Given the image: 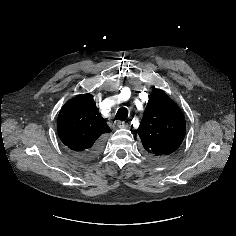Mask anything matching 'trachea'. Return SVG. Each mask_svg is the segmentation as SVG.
I'll use <instances>...</instances> for the list:
<instances>
[{"mask_svg":"<svg viewBox=\"0 0 236 236\" xmlns=\"http://www.w3.org/2000/svg\"><path fill=\"white\" fill-rule=\"evenodd\" d=\"M128 117V110L125 107L120 108L115 116V120L124 121Z\"/></svg>","mask_w":236,"mask_h":236,"instance_id":"trachea-1","label":"trachea"}]
</instances>
